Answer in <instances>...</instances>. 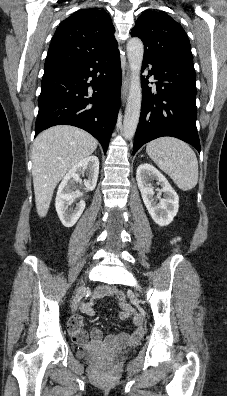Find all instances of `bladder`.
Listing matches in <instances>:
<instances>
[{
  "instance_id": "31cf9c89",
  "label": "bladder",
  "mask_w": 227,
  "mask_h": 396,
  "mask_svg": "<svg viewBox=\"0 0 227 396\" xmlns=\"http://www.w3.org/2000/svg\"><path fill=\"white\" fill-rule=\"evenodd\" d=\"M78 355H79L80 357H86V355H85L84 353H82V352H79Z\"/></svg>"
}]
</instances>
